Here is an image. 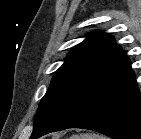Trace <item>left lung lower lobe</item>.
<instances>
[{
    "instance_id": "0a47b994",
    "label": "left lung lower lobe",
    "mask_w": 141,
    "mask_h": 139,
    "mask_svg": "<svg viewBox=\"0 0 141 139\" xmlns=\"http://www.w3.org/2000/svg\"><path fill=\"white\" fill-rule=\"evenodd\" d=\"M139 89L121 51L90 75L31 139L68 128H84L113 139H141Z\"/></svg>"
}]
</instances>
